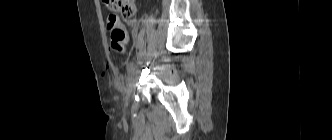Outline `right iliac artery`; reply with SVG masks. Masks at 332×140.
<instances>
[{"label":"right iliac artery","instance_id":"82829eb1","mask_svg":"<svg viewBox=\"0 0 332 140\" xmlns=\"http://www.w3.org/2000/svg\"><path fill=\"white\" fill-rule=\"evenodd\" d=\"M132 69H133V63H129V64L127 65V72L130 74L131 71H132Z\"/></svg>","mask_w":332,"mask_h":140}]
</instances>
